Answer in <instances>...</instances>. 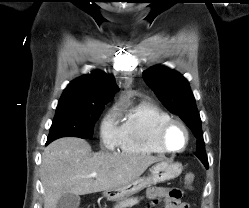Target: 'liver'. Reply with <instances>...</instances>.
Listing matches in <instances>:
<instances>
[{"label":"liver","instance_id":"liver-1","mask_svg":"<svg viewBox=\"0 0 249 208\" xmlns=\"http://www.w3.org/2000/svg\"><path fill=\"white\" fill-rule=\"evenodd\" d=\"M161 160L163 158L151 155L92 153L84 139H57L42 154L40 176L44 208H56L66 193L86 195L127 185ZM91 173H97V177H88Z\"/></svg>","mask_w":249,"mask_h":208}]
</instances>
